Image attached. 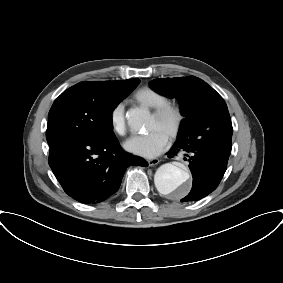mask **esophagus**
Masks as SVG:
<instances>
[{"label": "esophagus", "instance_id": "esophagus-1", "mask_svg": "<svg viewBox=\"0 0 283 283\" xmlns=\"http://www.w3.org/2000/svg\"><path fill=\"white\" fill-rule=\"evenodd\" d=\"M159 162L160 160L158 158H152L147 160L149 166L157 165Z\"/></svg>", "mask_w": 283, "mask_h": 283}]
</instances>
